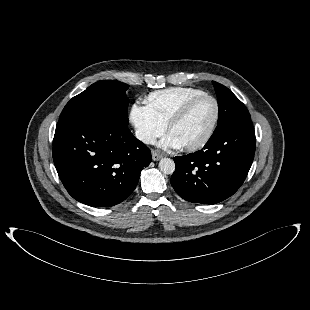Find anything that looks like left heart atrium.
<instances>
[{"label":"left heart atrium","mask_w":310,"mask_h":310,"mask_svg":"<svg viewBox=\"0 0 310 310\" xmlns=\"http://www.w3.org/2000/svg\"><path fill=\"white\" fill-rule=\"evenodd\" d=\"M159 146L163 149H174L180 147L181 144L177 137L172 132H169L160 140Z\"/></svg>","instance_id":"obj_1"}]
</instances>
